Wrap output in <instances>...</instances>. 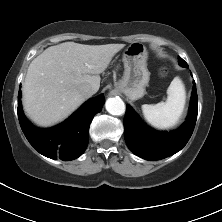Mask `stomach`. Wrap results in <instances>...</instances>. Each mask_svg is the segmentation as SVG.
Masks as SVG:
<instances>
[{"label": "stomach", "instance_id": "1", "mask_svg": "<svg viewBox=\"0 0 222 222\" xmlns=\"http://www.w3.org/2000/svg\"><path fill=\"white\" fill-rule=\"evenodd\" d=\"M147 58V49L140 42L130 44L123 53L125 70L122 79L116 83V89L131 100H137L145 95V87L150 79Z\"/></svg>", "mask_w": 222, "mask_h": 222}]
</instances>
